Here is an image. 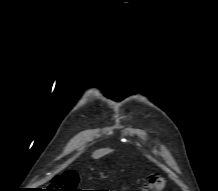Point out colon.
<instances>
[{"instance_id": "1", "label": "colon", "mask_w": 218, "mask_h": 191, "mask_svg": "<svg viewBox=\"0 0 218 191\" xmlns=\"http://www.w3.org/2000/svg\"><path fill=\"white\" fill-rule=\"evenodd\" d=\"M54 182L60 186L61 191H80L78 188V176L75 173L66 172L57 176ZM165 188V179L153 173L148 176L141 191H163Z\"/></svg>"}]
</instances>
